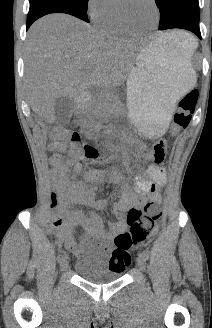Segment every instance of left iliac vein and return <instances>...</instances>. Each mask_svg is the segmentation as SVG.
Returning a JSON list of instances; mask_svg holds the SVG:
<instances>
[{
    "instance_id": "obj_1",
    "label": "left iliac vein",
    "mask_w": 212,
    "mask_h": 328,
    "mask_svg": "<svg viewBox=\"0 0 212 328\" xmlns=\"http://www.w3.org/2000/svg\"><path fill=\"white\" fill-rule=\"evenodd\" d=\"M137 267L141 271L145 269V258L141 254L137 257Z\"/></svg>"
}]
</instances>
